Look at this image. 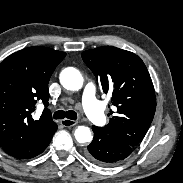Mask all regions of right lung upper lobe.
<instances>
[{"label":"right lung upper lobe","instance_id":"right-lung-upper-lobe-1","mask_svg":"<svg viewBox=\"0 0 183 183\" xmlns=\"http://www.w3.org/2000/svg\"><path fill=\"white\" fill-rule=\"evenodd\" d=\"M66 53L46 47H29L0 64V146L17 158L42 153L57 130L48 109L32 118L37 101L48 106L49 79Z\"/></svg>","mask_w":183,"mask_h":183}]
</instances>
